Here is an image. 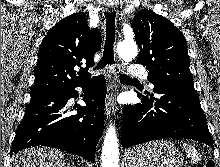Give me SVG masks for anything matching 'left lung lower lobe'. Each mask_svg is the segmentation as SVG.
Returning <instances> with one entry per match:
<instances>
[{
  "instance_id": "0a47b994",
  "label": "left lung lower lobe",
  "mask_w": 220,
  "mask_h": 167,
  "mask_svg": "<svg viewBox=\"0 0 220 167\" xmlns=\"http://www.w3.org/2000/svg\"><path fill=\"white\" fill-rule=\"evenodd\" d=\"M139 94L141 103L127 105L122 116L123 147L162 138H187L213 147L195 89L167 85Z\"/></svg>"
}]
</instances>
